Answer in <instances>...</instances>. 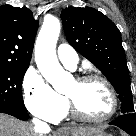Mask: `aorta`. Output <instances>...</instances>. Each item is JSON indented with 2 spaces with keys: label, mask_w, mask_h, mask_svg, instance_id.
I'll return each instance as SVG.
<instances>
[{
  "label": "aorta",
  "mask_w": 136,
  "mask_h": 136,
  "mask_svg": "<svg viewBox=\"0 0 136 136\" xmlns=\"http://www.w3.org/2000/svg\"><path fill=\"white\" fill-rule=\"evenodd\" d=\"M61 24L55 17H46L35 45V61L42 76L58 92H63L65 82L72 77L64 71L56 56V43Z\"/></svg>",
  "instance_id": "762f6f07"
}]
</instances>
